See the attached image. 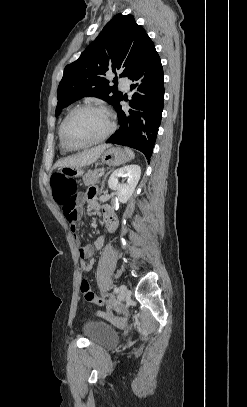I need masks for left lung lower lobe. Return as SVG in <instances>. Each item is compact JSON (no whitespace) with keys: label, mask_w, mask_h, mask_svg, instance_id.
<instances>
[{"label":"left lung lower lobe","mask_w":247,"mask_h":407,"mask_svg":"<svg viewBox=\"0 0 247 407\" xmlns=\"http://www.w3.org/2000/svg\"><path fill=\"white\" fill-rule=\"evenodd\" d=\"M129 79L134 82L130 89L137 90L129 101L131 109L124 112L120 103L116 105L120 128L106 143L135 148L149 160L161 123L164 101V74L156 49Z\"/></svg>","instance_id":"0a47b994"}]
</instances>
